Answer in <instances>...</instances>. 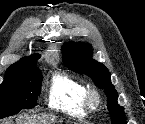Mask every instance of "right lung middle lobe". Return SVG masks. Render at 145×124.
Masks as SVG:
<instances>
[{
    "label": "right lung middle lobe",
    "mask_w": 145,
    "mask_h": 124,
    "mask_svg": "<svg viewBox=\"0 0 145 124\" xmlns=\"http://www.w3.org/2000/svg\"><path fill=\"white\" fill-rule=\"evenodd\" d=\"M42 75L38 67L14 75L5 76L0 85V119L31 109L36 105L41 89Z\"/></svg>",
    "instance_id": "right-lung-middle-lobe-1"
}]
</instances>
